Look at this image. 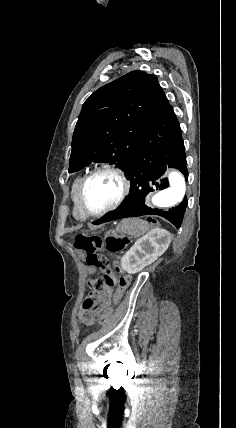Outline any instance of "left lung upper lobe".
I'll list each match as a JSON object with an SVG mask.
<instances>
[{
  "mask_svg": "<svg viewBox=\"0 0 236 428\" xmlns=\"http://www.w3.org/2000/svg\"><path fill=\"white\" fill-rule=\"evenodd\" d=\"M169 106L157 77L143 71L99 88L76 123L69 173L91 162H110L125 171L146 129Z\"/></svg>",
  "mask_w": 236,
  "mask_h": 428,
  "instance_id": "5c2ea615",
  "label": "left lung upper lobe"
}]
</instances>
